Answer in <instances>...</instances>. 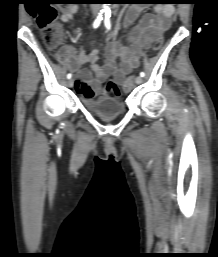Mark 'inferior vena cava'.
<instances>
[{
    "instance_id": "602c4592",
    "label": "inferior vena cava",
    "mask_w": 218,
    "mask_h": 257,
    "mask_svg": "<svg viewBox=\"0 0 218 257\" xmlns=\"http://www.w3.org/2000/svg\"><path fill=\"white\" fill-rule=\"evenodd\" d=\"M99 6H100V4H92V5H91L92 9H94V10H96V11L99 10Z\"/></svg>"
}]
</instances>
